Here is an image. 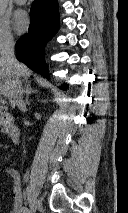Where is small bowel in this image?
Instances as JSON below:
<instances>
[{
  "instance_id": "c3829d8e",
  "label": "small bowel",
  "mask_w": 128,
  "mask_h": 213,
  "mask_svg": "<svg viewBox=\"0 0 128 213\" xmlns=\"http://www.w3.org/2000/svg\"><path fill=\"white\" fill-rule=\"evenodd\" d=\"M5 172L12 182V203L10 213H24L20 175L14 168H6Z\"/></svg>"
}]
</instances>
